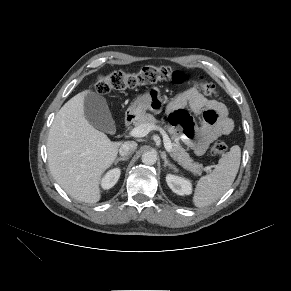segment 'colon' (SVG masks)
Wrapping results in <instances>:
<instances>
[{
	"label": "colon",
	"instance_id": "obj_1",
	"mask_svg": "<svg viewBox=\"0 0 291 291\" xmlns=\"http://www.w3.org/2000/svg\"><path fill=\"white\" fill-rule=\"evenodd\" d=\"M186 80L187 77L183 73L169 67L145 66L137 72L119 70L107 75H101L95 81V89L100 94H107L113 90L133 89L162 81L183 83ZM194 85L207 96L218 95L215 85L202 77H198L194 81ZM226 150V144L222 141H217L212 145L210 152L213 156H221Z\"/></svg>",
	"mask_w": 291,
	"mask_h": 291
}]
</instances>
